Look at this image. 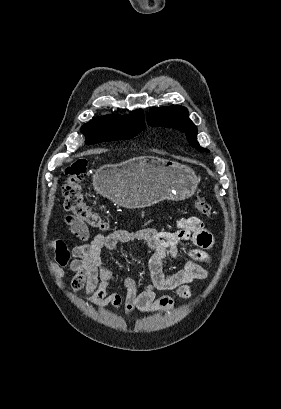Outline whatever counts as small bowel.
<instances>
[{
    "instance_id": "obj_1",
    "label": "small bowel",
    "mask_w": 281,
    "mask_h": 409,
    "mask_svg": "<svg viewBox=\"0 0 281 409\" xmlns=\"http://www.w3.org/2000/svg\"><path fill=\"white\" fill-rule=\"evenodd\" d=\"M73 233L82 241H87V227L73 216L65 218ZM144 241L153 251L148 261V280L144 289L138 292L135 279L112 272L103 262L102 252L113 250L119 244ZM188 242L196 248L183 252L180 247ZM214 238L203 221L197 217H184L176 221L172 230L141 228L135 231L115 230L108 234H97L90 242L69 250L62 240H53L50 247L56 253V263L52 271L57 277L63 276V267L68 266L74 273L71 281L74 291L82 292L86 299L98 306H112L129 317L135 311L143 313L172 310L175 300L171 296L156 297V291L175 290L178 297L190 296V284L208 277L211 257L208 250ZM171 259L179 264V270L166 273L164 261ZM204 263L205 265H201ZM120 279L127 294L123 298L117 293H108L109 285Z\"/></svg>"
}]
</instances>
